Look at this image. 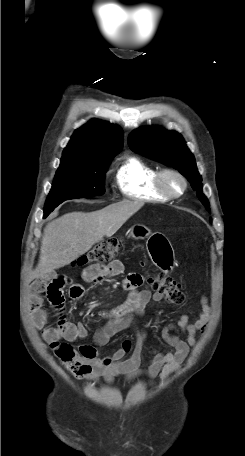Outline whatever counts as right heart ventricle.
I'll return each mask as SVG.
<instances>
[{
	"mask_svg": "<svg viewBox=\"0 0 245 456\" xmlns=\"http://www.w3.org/2000/svg\"><path fill=\"white\" fill-rule=\"evenodd\" d=\"M157 172L155 167L130 156L117 167L115 181L120 192L129 199L164 202L168 198L159 193L154 185Z\"/></svg>",
	"mask_w": 245,
	"mask_h": 456,
	"instance_id": "1",
	"label": "right heart ventricle"
}]
</instances>
